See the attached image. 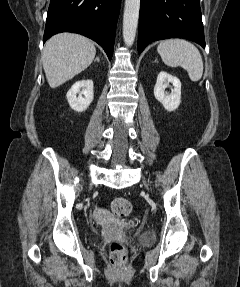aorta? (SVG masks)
Returning a JSON list of instances; mask_svg holds the SVG:
<instances>
[{"label":"aorta","mask_w":240,"mask_h":287,"mask_svg":"<svg viewBox=\"0 0 240 287\" xmlns=\"http://www.w3.org/2000/svg\"><path fill=\"white\" fill-rule=\"evenodd\" d=\"M140 0H125L123 15V40L126 46L133 45L139 18Z\"/></svg>","instance_id":"1"}]
</instances>
